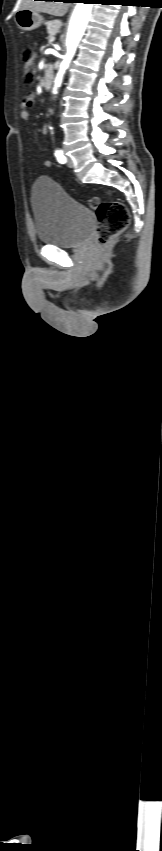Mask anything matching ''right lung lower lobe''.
<instances>
[{
    "label": "right lung lower lobe",
    "mask_w": 162,
    "mask_h": 851,
    "mask_svg": "<svg viewBox=\"0 0 162 851\" xmlns=\"http://www.w3.org/2000/svg\"><path fill=\"white\" fill-rule=\"evenodd\" d=\"M46 1H56V0H46ZM64 2H74V0H63Z\"/></svg>",
    "instance_id": "98d812e1"
}]
</instances>
